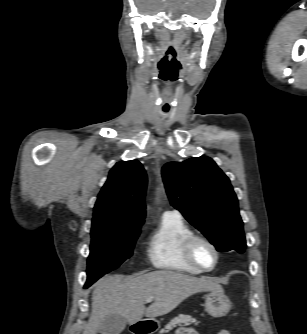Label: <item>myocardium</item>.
Listing matches in <instances>:
<instances>
[{"mask_svg": "<svg viewBox=\"0 0 307 334\" xmlns=\"http://www.w3.org/2000/svg\"><path fill=\"white\" fill-rule=\"evenodd\" d=\"M202 242L206 245H208L211 250L213 251L215 255V261L213 265L209 268L203 267L196 259L195 253H194V248L196 243ZM183 253L186 258V260L195 268H197L201 272H210L213 271L219 264L220 260V252L217 246L207 237L200 235V234H195L192 233L189 235L183 242Z\"/></svg>", "mask_w": 307, "mask_h": 334, "instance_id": "1", "label": "myocardium"}]
</instances>
